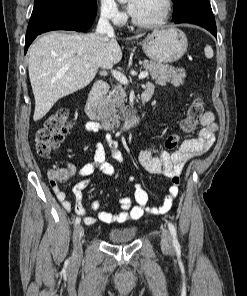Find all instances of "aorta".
Instances as JSON below:
<instances>
[{
  "label": "aorta",
  "instance_id": "aorta-1",
  "mask_svg": "<svg viewBox=\"0 0 247 296\" xmlns=\"http://www.w3.org/2000/svg\"><path fill=\"white\" fill-rule=\"evenodd\" d=\"M119 2H126L127 0H118Z\"/></svg>",
  "mask_w": 247,
  "mask_h": 296
}]
</instances>
